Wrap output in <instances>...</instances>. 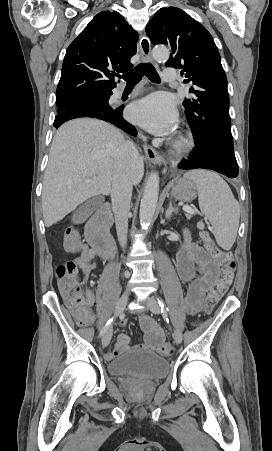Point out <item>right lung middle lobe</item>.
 <instances>
[{
	"mask_svg": "<svg viewBox=\"0 0 272 451\" xmlns=\"http://www.w3.org/2000/svg\"><path fill=\"white\" fill-rule=\"evenodd\" d=\"M108 98L107 95H101V94H90V95H84V96H77V97H69V98H57L56 99V105L57 113L62 112L68 105H72L74 103H86L93 100H98L102 104V108L106 109L108 111L113 110L112 107L108 104Z\"/></svg>",
	"mask_w": 272,
	"mask_h": 451,
	"instance_id": "dd1d6c3e",
	"label": "right lung middle lobe"
}]
</instances>
